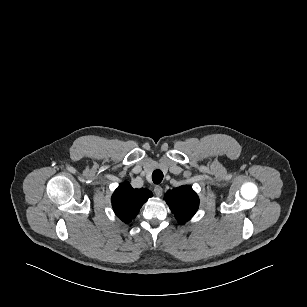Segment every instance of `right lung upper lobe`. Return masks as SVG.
I'll use <instances>...</instances> for the list:
<instances>
[{"label":"right lung upper lobe","instance_id":"cb5924a9","mask_svg":"<svg viewBox=\"0 0 307 307\" xmlns=\"http://www.w3.org/2000/svg\"><path fill=\"white\" fill-rule=\"evenodd\" d=\"M152 196V192L145 188L133 189L129 183H122L112 196L113 210L123 222L129 223Z\"/></svg>","mask_w":307,"mask_h":307}]
</instances>
